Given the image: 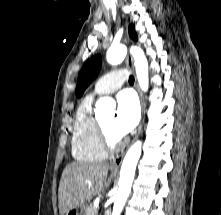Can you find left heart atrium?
<instances>
[{"instance_id": "left-heart-atrium-1", "label": "left heart atrium", "mask_w": 221, "mask_h": 215, "mask_svg": "<svg viewBox=\"0 0 221 215\" xmlns=\"http://www.w3.org/2000/svg\"><path fill=\"white\" fill-rule=\"evenodd\" d=\"M140 117L139 104L136 96L129 90L122 91L117 96V110L112 123V129L117 137L131 132Z\"/></svg>"}]
</instances>
